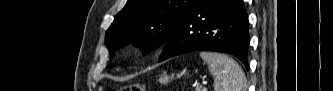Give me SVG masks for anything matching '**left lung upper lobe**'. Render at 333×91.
Wrapping results in <instances>:
<instances>
[{
	"label": "left lung upper lobe",
	"instance_id": "5c2ea615",
	"mask_svg": "<svg viewBox=\"0 0 333 91\" xmlns=\"http://www.w3.org/2000/svg\"><path fill=\"white\" fill-rule=\"evenodd\" d=\"M198 0H128L105 34L112 54L134 41L144 52L167 42Z\"/></svg>",
	"mask_w": 333,
	"mask_h": 91
}]
</instances>
